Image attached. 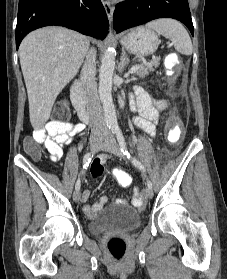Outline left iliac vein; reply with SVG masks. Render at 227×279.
<instances>
[{
  "label": "left iliac vein",
  "mask_w": 227,
  "mask_h": 279,
  "mask_svg": "<svg viewBox=\"0 0 227 279\" xmlns=\"http://www.w3.org/2000/svg\"><path fill=\"white\" fill-rule=\"evenodd\" d=\"M101 148L105 151H108L120 158H125V155L121 152L116 140L112 136H108L104 143H102ZM145 195L149 199L153 197V190L149 187L146 188L145 190Z\"/></svg>",
  "instance_id": "obj_1"
}]
</instances>
